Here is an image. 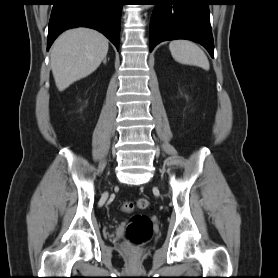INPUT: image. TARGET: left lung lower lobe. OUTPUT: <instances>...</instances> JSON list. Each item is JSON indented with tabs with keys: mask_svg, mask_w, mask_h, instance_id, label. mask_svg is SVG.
<instances>
[{
	"mask_svg": "<svg viewBox=\"0 0 278 278\" xmlns=\"http://www.w3.org/2000/svg\"><path fill=\"white\" fill-rule=\"evenodd\" d=\"M210 1L150 0L155 5L150 22V51L162 41L188 39L204 46L213 58Z\"/></svg>",
	"mask_w": 278,
	"mask_h": 278,
	"instance_id": "obj_1",
	"label": "left lung lower lobe"
}]
</instances>
